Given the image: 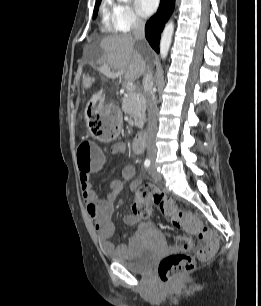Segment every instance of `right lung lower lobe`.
<instances>
[{
    "label": "right lung lower lobe",
    "instance_id": "1",
    "mask_svg": "<svg viewBox=\"0 0 261 306\" xmlns=\"http://www.w3.org/2000/svg\"><path fill=\"white\" fill-rule=\"evenodd\" d=\"M175 0H161L157 13L145 25V36L151 47L158 53L160 34L174 10Z\"/></svg>",
    "mask_w": 261,
    "mask_h": 306
}]
</instances>
